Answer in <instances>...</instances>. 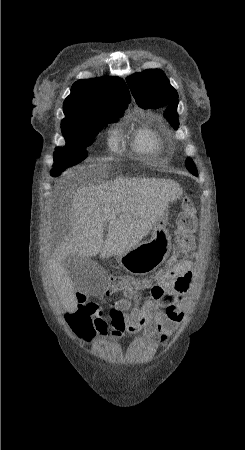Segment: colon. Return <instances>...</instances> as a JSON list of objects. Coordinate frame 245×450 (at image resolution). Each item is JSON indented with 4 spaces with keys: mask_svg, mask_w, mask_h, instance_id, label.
Instances as JSON below:
<instances>
[{
    "mask_svg": "<svg viewBox=\"0 0 245 450\" xmlns=\"http://www.w3.org/2000/svg\"><path fill=\"white\" fill-rule=\"evenodd\" d=\"M180 207L171 265L184 262L195 246L196 207L193 193L182 198ZM147 280L148 278L115 275L110 280V286L116 291L137 289L141 282ZM158 287L161 289L160 284ZM77 298L82 303H79L75 312L68 317L67 325L78 337L89 338L95 333V324L99 321L102 311L96 303L88 300V296L77 293Z\"/></svg>",
    "mask_w": 245,
    "mask_h": 450,
    "instance_id": "colon-1",
    "label": "colon"
}]
</instances>
